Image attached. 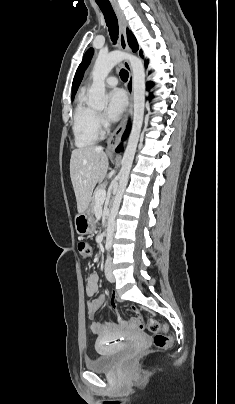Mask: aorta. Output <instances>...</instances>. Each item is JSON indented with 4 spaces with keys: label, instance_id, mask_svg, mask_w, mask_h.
<instances>
[{
    "label": "aorta",
    "instance_id": "1",
    "mask_svg": "<svg viewBox=\"0 0 235 404\" xmlns=\"http://www.w3.org/2000/svg\"><path fill=\"white\" fill-rule=\"evenodd\" d=\"M128 60L133 72V124L122 159L119 173V186L108 219L106 244L111 245L115 229V217L118 213L122 195L126 189L129 173L140 137L145 109V72L142 61L129 53L112 51L108 54L100 53L92 70L93 83L89 90V104L94 108H104L108 99L105 95V79L115 65Z\"/></svg>",
    "mask_w": 235,
    "mask_h": 404
}]
</instances>
